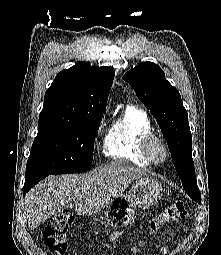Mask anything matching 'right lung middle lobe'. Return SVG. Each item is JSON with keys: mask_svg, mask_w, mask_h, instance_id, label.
<instances>
[{"mask_svg": "<svg viewBox=\"0 0 221 255\" xmlns=\"http://www.w3.org/2000/svg\"><path fill=\"white\" fill-rule=\"evenodd\" d=\"M103 112L84 119L40 117L26 175L87 171L92 166L95 136Z\"/></svg>", "mask_w": 221, "mask_h": 255, "instance_id": "dd1d6c3e", "label": "right lung middle lobe"}]
</instances>
